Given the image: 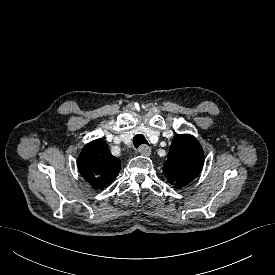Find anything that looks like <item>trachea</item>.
Returning <instances> with one entry per match:
<instances>
[{
  "label": "trachea",
  "instance_id": "1",
  "mask_svg": "<svg viewBox=\"0 0 275 275\" xmlns=\"http://www.w3.org/2000/svg\"><path fill=\"white\" fill-rule=\"evenodd\" d=\"M133 144H134L135 148H138L142 144L148 145V142L142 134H138V135L134 136Z\"/></svg>",
  "mask_w": 275,
  "mask_h": 275
}]
</instances>
